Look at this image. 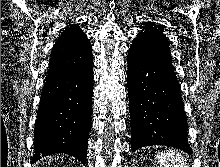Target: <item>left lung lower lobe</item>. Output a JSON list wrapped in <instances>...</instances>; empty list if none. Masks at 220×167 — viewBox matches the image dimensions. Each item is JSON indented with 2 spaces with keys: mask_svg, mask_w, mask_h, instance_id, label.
I'll use <instances>...</instances> for the list:
<instances>
[{
  "mask_svg": "<svg viewBox=\"0 0 220 167\" xmlns=\"http://www.w3.org/2000/svg\"><path fill=\"white\" fill-rule=\"evenodd\" d=\"M128 94L133 151L167 145L192 153L172 57L130 50Z\"/></svg>",
  "mask_w": 220,
  "mask_h": 167,
  "instance_id": "left-lung-lower-lobe-1",
  "label": "left lung lower lobe"
}]
</instances>
